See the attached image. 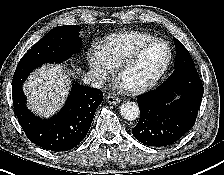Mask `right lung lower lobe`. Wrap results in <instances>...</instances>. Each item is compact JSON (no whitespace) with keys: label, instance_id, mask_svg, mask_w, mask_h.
<instances>
[{"label":"right lung lower lobe","instance_id":"1","mask_svg":"<svg viewBox=\"0 0 224 175\" xmlns=\"http://www.w3.org/2000/svg\"><path fill=\"white\" fill-rule=\"evenodd\" d=\"M39 66H19L13 76L14 113L29 140L50 151H67L76 147L87 135L97 107L103 100L99 89L73 83L62 110L50 119L35 116L26 107L22 84Z\"/></svg>","mask_w":224,"mask_h":175}]
</instances>
